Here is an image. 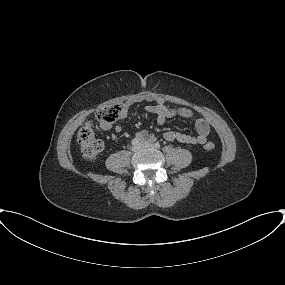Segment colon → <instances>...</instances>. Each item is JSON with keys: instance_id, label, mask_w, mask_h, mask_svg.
Instances as JSON below:
<instances>
[{"instance_id": "1", "label": "colon", "mask_w": 285, "mask_h": 285, "mask_svg": "<svg viewBox=\"0 0 285 285\" xmlns=\"http://www.w3.org/2000/svg\"><path fill=\"white\" fill-rule=\"evenodd\" d=\"M123 112V105L115 103L99 109L96 113V117L100 123L110 125L120 119ZM77 142L81 155L89 161H95L103 149L102 141L96 136L92 125L89 123L79 130ZM214 147V143L212 142H207L204 145L207 151L213 150Z\"/></svg>"}]
</instances>
